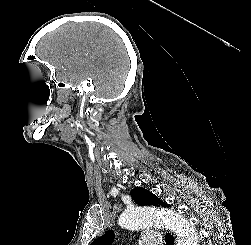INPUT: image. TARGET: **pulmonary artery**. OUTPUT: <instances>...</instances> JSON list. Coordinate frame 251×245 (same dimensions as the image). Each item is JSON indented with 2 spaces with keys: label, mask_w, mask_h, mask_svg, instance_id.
I'll return each mask as SVG.
<instances>
[{
  "label": "pulmonary artery",
  "mask_w": 251,
  "mask_h": 245,
  "mask_svg": "<svg viewBox=\"0 0 251 245\" xmlns=\"http://www.w3.org/2000/svg\"><path fill=\"white\" fill-rule=\"evenodd\" d=\"M141 242L143 245H160L162 239L156 233H145L141 236Z\"/></svg>",
  "instance_id": "e3ab8cb5"
}]
</instances>
